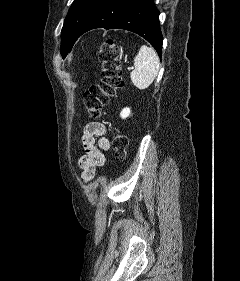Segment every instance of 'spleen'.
Listing matches in <instances>:
<instances>
[{
    "label": "spleen",
    "instance_id": "1",
    "mask_svg": "<svg viewBox=\"0 0 240 281\" xmlns=\"http://www.w3.org/2000/svg\"><path fill=\"white\" fill-rule=\"evenodd\" d=\"M160 67L157 53L152 47L141 46L134 58V70L130 74L131 81L140 90L147 89L156 78Z\"/></svg>",
    "mask_w": 240,
    "mask_h": 281
}]
</instances>
